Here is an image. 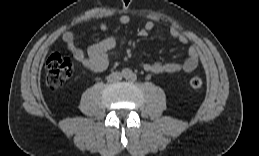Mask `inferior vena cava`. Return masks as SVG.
Wrapping results in <instances>:
<instances>
[{
	"mask_svg": "<svg viewBox=\"0 0 259 156\" xmlns=\"http://www.w3.org/2000/svg\"><path fill=\"white\" fill-rule=\"evenodd\" d=\"M121 79H122V74L120 72H113L107 77V80L109 82H115Z\"/></svg>",
	"mask_w": 259,
	"mask_h": 156,
	"instance_id": "obj_1",
	"label": "inferior vena cava"
}]
</instances>
